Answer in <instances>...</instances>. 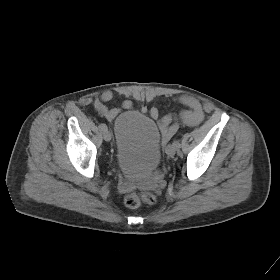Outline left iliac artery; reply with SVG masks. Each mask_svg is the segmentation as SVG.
Listing matches in <instances>:
<instances>
[{"instance_id": "44dca946", "label": "left iliac artery", "mask_w": 280, "mask_h": 280, "mask_svg": "<svg viewBox=\"0 0 280 280\" xmlns=\"http://www.w3.org/2000/svg\"><path fill=\"white\" fill-rule=\"evenodd\" d=\"M172 145L175 146L176 148H179V147H180L179 141H174V142L172 143Z\"/></svg>"}]
</instances>
